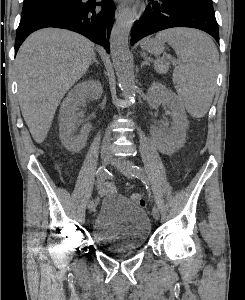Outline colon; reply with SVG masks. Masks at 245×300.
Instances as JSON below:
<instances>
[{"label":"colon","instance_id":"5ec220e1","mask_svg":"<svg viewBox=\"0 0 245 300\" xmlns=\"http://www.w3.org/2000/svg\"><path fill=\"white\" fill-rule=\"evenodd\" d=\"M132 200L140 206H144V204H145L144 196L140 193L133 194Z\"/></svg>","mask_w":245,"mask_h":300}]
</instances>
